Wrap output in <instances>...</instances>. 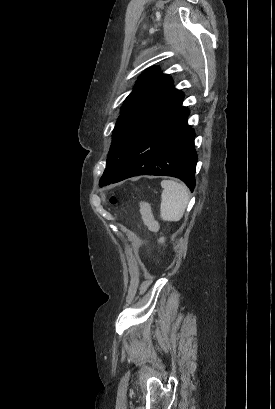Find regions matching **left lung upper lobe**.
Returning a JSON list of instances; mask_svg holds the SVG:
<instances>
[{
  "label": "left lung upper lobe",
  "instance_id": "obj_1",
  "mask_svg": "<svg viewBox=\"0 0 275 409\" xmlns=\"http://www.w3.org/2000/svg\"><path fill=\"white\" fill-rule=\"evenodd\" d=\"M183 100L169 75L150 68L140 76L135 89L125 99L115 128L106 169L100 187L110 184L120 171L130 150L145 132Z\"/></svg>",
  "mask_w": 275,
  "mask_h": 409
}]
</instances>
